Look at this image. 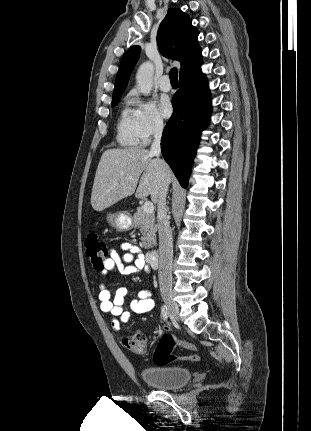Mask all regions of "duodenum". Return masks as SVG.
I'll return each instance as SVG.
<instances>
[{"label": "duodenum", "mask_w": 311, "mask_h": 431, "mask_svg": "<svg viewBox=\"0 0 311 431\" xmlns=\"http://www.w3.org/2000/svg\"><path fill=\"white\" fill-rule=\"evenodd\" d=\"M148 261L153 267H157L159 264V251L157 249H151L149 250L148 254Z\"/></svg>", "instance_id": "obj_1"}]
</instances>
